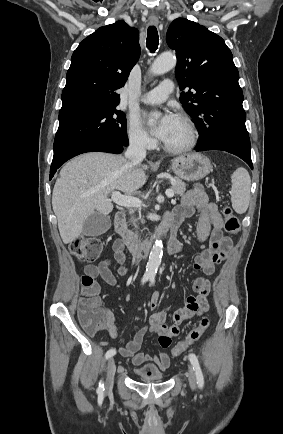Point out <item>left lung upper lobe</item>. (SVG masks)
<instances>
[{
	"label": "left lung upper lobe",
	"instance_id": "left-lung-upper-lobe-1",
	"mask_svg": "<svg viewBox=\"0 0 283 434\" xmlns=\"http://www.w3.org/2000/svg\"><path fill=\"white\" fill-rule=\"evenodd\" d=\"M166 41L176 51L180 102L198 129V146L250 153L239 73L224 40L204 26L177 18Z\"/></svg>",
	"mask_w": 283,
	"mask_h": 434
}]
</instances>
